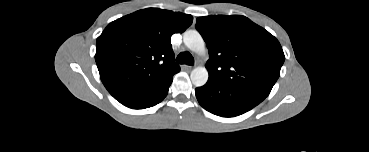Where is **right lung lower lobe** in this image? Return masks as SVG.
<instances>
[{"instance_id": "98d812e1", "label": "right lung lower lobe", "mask_w": 369, "mask_h": 152, "mask_svg": "<svg viewBox=\"0 0 369 152\" xmlns=\"http://www.w3.org/2000/svg\"><path fill=\"white\" fill-rule=\"evenodd\" d=\"M173 75L167 78L163 83L160 85L136 94L134 96L121 99L119 102L126 107L132 109H144L151 106H154L161 102L167 95L169 87L172 83Z\"/></svg>"}]
</instances>
